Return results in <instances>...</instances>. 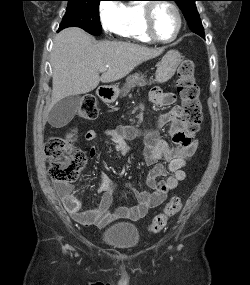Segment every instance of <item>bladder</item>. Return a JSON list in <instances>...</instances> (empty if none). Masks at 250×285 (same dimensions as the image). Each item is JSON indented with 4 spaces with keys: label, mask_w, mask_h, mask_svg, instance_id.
Instances as JSON below:
<instances>
[{
    "label": "bladder",
    "mask_w": 250,
    "mask_h": 285,
    "mask_svg": "<svg viewBox=\"0 0 250 285\" xmlns=\"http://www.w3.org/2000/svg\"><path fill=\"white\" fill-rule=\"evenodd\" d=\"M102 240L110 246L119 249L135 247L140 239L137 227L128 222H116L102 232Z\"/></svg>",
    "instance_id": "31cf9c89"
}]
</instances>
